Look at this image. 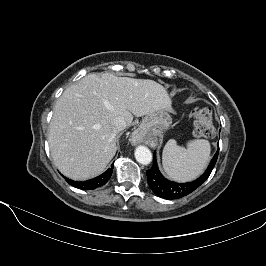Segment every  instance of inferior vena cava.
I'll return each instance as SVG.
<instances>
[{
	"instance_id": "obj_1",
	"label": "inferior vena cava",
	"mask_w": 266,
	"mask_h": 266,
	"mask_svg": "<svg viewBox=\"0 0 266 266\" xmlns=\"http://www.w3.org/2000/svg\"><path fill=\"white\" fill-rule=\"evenodd\" d=\"M126 126V121L121 117H117L112 121V129L116 134L125 129Z\"/></svg>"
}]
</instances>
